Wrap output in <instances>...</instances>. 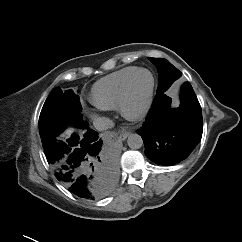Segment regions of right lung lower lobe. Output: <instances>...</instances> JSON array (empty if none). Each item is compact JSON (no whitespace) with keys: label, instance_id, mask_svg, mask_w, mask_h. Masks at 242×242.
I'll return each mask as SVG.
<instances>
[{"label":"right lung lower lobe","instance_id":"obj_1","mask_svg":"<svg viewBox=\"0 0 242 242\" xmlns=\"http://www.w3.org/2000/svg\"><path fill=\"white\" fill-rule=\"evenodd\" d=\"M83 135L73 134L66 140L50 138L44 153L55 177L80 198L97 199L108 194L116 182L112 162L101 154L102 140L86 126Z\"/></svg>","mask_w":242,"mask_h":242}]
</instances>
